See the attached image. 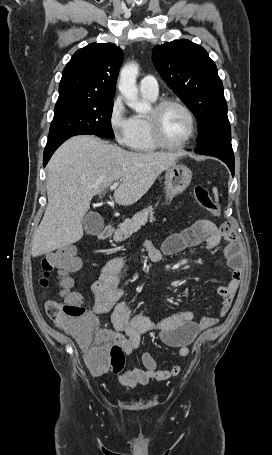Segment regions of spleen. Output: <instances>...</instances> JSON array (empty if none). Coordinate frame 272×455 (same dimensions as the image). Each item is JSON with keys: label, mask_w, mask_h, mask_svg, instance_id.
<instances>
[{"label": "spleen", "mask_w": 272, "mask_h": 455, "mask_svg": "<svg viewBox=\"0 0 272 455\" xmlns=\"http://www.w3.org/2000/svg\"><path fill=\"white\" fill-rule=\"evenodd\" d=\"M213 193H214V196H215V200L218 201V190L216 187L213 188Z\"/></svg>", "instance_id": "3e777b00"}]
</instances>
